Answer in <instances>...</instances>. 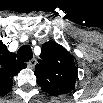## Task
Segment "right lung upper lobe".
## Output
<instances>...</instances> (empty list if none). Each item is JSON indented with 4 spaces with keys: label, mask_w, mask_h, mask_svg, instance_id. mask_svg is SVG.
<instances>
[{
    "label": "right lung upper lobe",
    "mask_w": 103,
    "mask_h": 103,
    "mask_svg": "<svg viewBox=\"0 0 103 103\" xmlns=\"http://www.w3.org/2000/svg\"><path fill=\"white\" fill-rule=\"evenodd\" d=\"M0 45V64L5 68H10L12 76L17 74L21 70V68L26 67V64L15 60V54L9 52L3 42H1ZM0 71L1 89L8 92L10 91L12 86V80L10 79L11 74L8 70L3 68H1Z\"/></svg>",
    "instance_id": "obj_1"
}]
</instances>
